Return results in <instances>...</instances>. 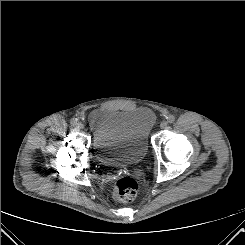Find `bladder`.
Returning <instances> with one entry per match:
<instances>
[{
  "label": "bladder",
  "instance_id": "31cf9c89",
  "mask_svg": "<svg viewBox=\"0 0 245 245\" xmlns=\"http://www.w3.org/2000/svg\"><path fill=\"white\" fill-rule=\"evenodd\" d=\"M156 116L149 107L98 108L88 116V129L98 161L111 168L134 165L146 155Z\"/></svg>",
  "mask_w": 245,
  "mask_h": 245
}]
</instances>
